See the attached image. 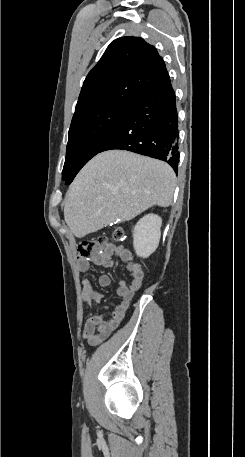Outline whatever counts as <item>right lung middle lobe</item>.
Masks as SVG:
<instances>
[{"mask_svg":"<svg viewBox=\"0 0 245 457\" xmlns=\"http://www.w3.org/2000/svg\"><path fill=\"white\" fill-rule=\"evenodd\" d=\"M131 105L114 102L95 111L73 116L62 179L70 184L79 170L105 145Z\"/></svg>","mask_w":245,"mask_h":457,"instance_id":"dd1d6c3e","label":"right lung middle lobe"}]
</instances>
